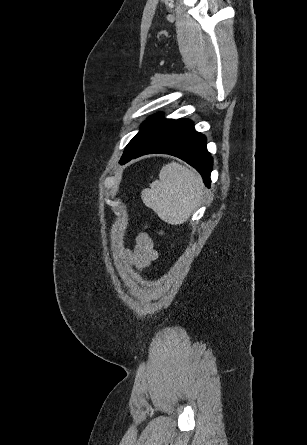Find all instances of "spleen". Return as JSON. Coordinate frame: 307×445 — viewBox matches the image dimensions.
Instances as JSON below:
<instances>
[{
	"instance_id": "3e777b00",
	"label": "spleen",
	"mask_w": 307,
	"mask_h": 445,
	"mask_svg": "<svg viewBox=\"0 0 307 445\" xmlns=\"http://www.w3.org/2000/svg\"><path fill=\"white\" fill-rule=\"evenodd\" d=\"M142 190V200L169 225H183L201 202L200 174L179 162L164 164L158 180Z\"/></svg>"
}]
</instances>
